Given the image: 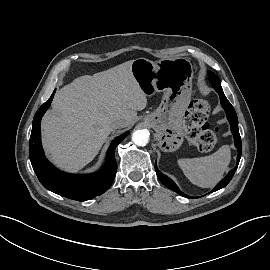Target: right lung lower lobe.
I'll return each instance as SVG.
<instances>
[{
    "instance_id": "right-lung-lower-lobe-1",
    "label": "right lung lower lobe",
    "mask_w": 270,
    "mask_h": 270,
    "mask_svg": "<svg viewBox=\"0 0 270 270\" xmlns=\"http://www.w3.org/2000/svg\"><path fill=\"white\" fill-rule=\"evenodd\" d=\"M55 90L36 112L29 142V156L32 167L41 182L48 190L61 196L86 201L104 193L112 185L116 175V146L128 135L117 137L110 145L105 166L98 172L89 175L67 174L56 169L44 156L41 146L40 121L50 106Z\"/></svg>"
}]
</instances>
